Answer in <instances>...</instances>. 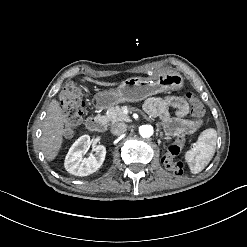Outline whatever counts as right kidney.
<instances>
[{
	"mask_svg": "<svg viewBox=\"0 0 247 247\" xmlns=\"http://www.w3.org/2000/svg\"><path fill=\"white\" fill-rule=\"evenodd\" d=\"M90 136L84 134L80 136L70 147L65 156V169L76 176H88L97 171L105 159V148L98 146L94 155L88 158L83 157V151L89 147Z\"/></svg>",
	"mask_w": 247,
	"mask_h": 247,
	"instance_id": "1",
	"label": "right kidney"
}]
</instances>
